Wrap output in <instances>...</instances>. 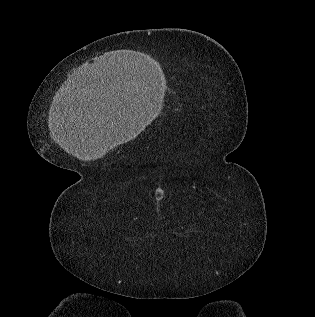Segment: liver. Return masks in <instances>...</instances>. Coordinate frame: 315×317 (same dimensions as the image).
Listing matches in <instances>:
<instances>
[{
	"mask_svg": "<svg viewBox=\"0 0 315 317\" xmlns=\"http://www.w3.org/2000/svg\"><path fill=\"white\" fill-rule=\"evenodd\" d=\"M67 125L69 126L68 127L69 137L68 138H61L59 141L60 145L66 151H68L69 153H72L73 155H75L79 158H88L89 156L84 154V152H83V150L85 148L84 146H86L88 144V142L86 141V135L81 136L82 132L88 133V127H85V129H84V127H82V126L81 127L77 126L75 129V127H73L74 126L73 123H68ZM97 134L98 133L96 132L94 135L97 136ZM123 140H125V139L112 141L111 144L107 143L106 141H103L101 144L106 145V147L100 148V150H97V151L92 150L93 151L92 157L97 158L99 156H102L108 147L115 146ZM96 144H97V142H96ZM97 145H100V144H97Z\"/></svg>",
	"mask_w": 315,
	"mask_h": 317,
	"instance_id": "liver-1",
	"label": "liver"
}]
</instances>
